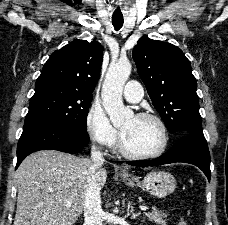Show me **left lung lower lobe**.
Wrapping results in <instances>:
<instances>
[{
  "label": "left lung lower lobe",
  "mask_w": 228,
  "mask_h": 225,
  "mask_svg": "<svg viewBox=\"0 0 228 225\" xmlns=\"http://www.w3.org/2000/svg\"><path fill=\"white\" fill-rule=\"evenodd\" d=\"M184 162L199 167L210 181V153L203 133H186L165 154L152 160L128 161L132 166H157Z\"/></svg>",
  "instance_id": "1"
}]
</instances>
